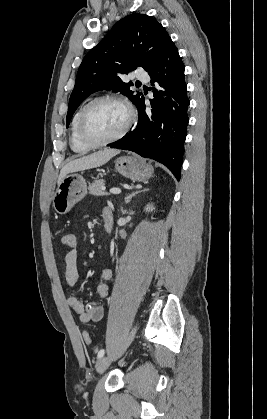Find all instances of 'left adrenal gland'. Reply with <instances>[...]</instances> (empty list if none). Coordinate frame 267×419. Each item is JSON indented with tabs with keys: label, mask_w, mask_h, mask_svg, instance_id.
Returning <instances> with one entry per match:
<instances>
[{
	"label": "left adrenal gland",
	"mask_w": 267,
	"mask_h": 419,
	"mask_svg": "<svg viewBox=\"0 0 267 419\" xmlns=\"http://www.w3.org/2000/svg\"><path fill=\"white\" fill-rule=\"evenodd\" d=\"M147 190L148 189H143V190L136 191V192H133V193L127 195V197L125 198V203L128 204L134 196H136L137 194H139L141 192L147 191Z\"/></svg>",
	"instance_id": "obj_1"
}]
</instances>
